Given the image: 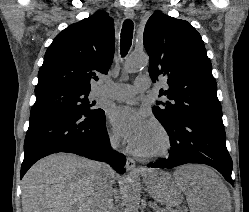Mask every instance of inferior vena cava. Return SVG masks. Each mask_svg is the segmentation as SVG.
I'll return each instance as SVG.
<instances>
[{
	"mask_svg": "<svg viewBox=\"0 0 249 212\" xmlns=\"http://www.w3.org/2000/svg\"><path fill=\"white\" fill-rule=\"evenodd\" d=\"M111 148L116 150L118 146V138H110ZM99 172L98 176L95 178V194L94 198L95 202V210L94 212H114V204H113V192H112V184L113 180L110 176V172H112L111 168H109L108 164H103V162H99Z\"/></svg>",
	"mask_w": 249,
	"mask_h": 212,
	"instance_id": "obj_1",
	"label": "inferior vena cava"
}]
</instances>
